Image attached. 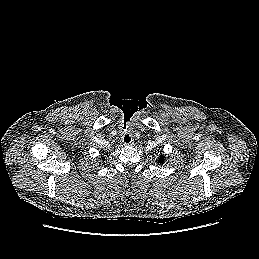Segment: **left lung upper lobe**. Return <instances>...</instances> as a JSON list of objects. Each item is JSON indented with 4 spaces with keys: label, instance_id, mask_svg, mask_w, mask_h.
<instances>
[{
    "label": "left lung upper lobe",
    "instance_id": "left-lung-upper-lobe-1",
    "mask_svg": "<svg viewBox=\"0 0 259 259\" xmlns=\"http://www.w3.org/2000/svg\"><path fill=\"white\" fill-rule=\"evenodd\" d=\"M164 162H165V157L161 155L158 159V163L163 164Z\"/></svg>",
    "mask_w": 259,
    "mask_h": 259
}]
</instances>
